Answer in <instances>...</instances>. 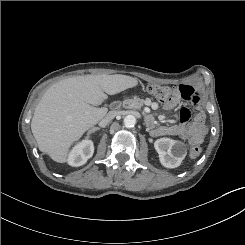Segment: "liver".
Instances as JSON below:
<instances>
[{"label": "liver", "instance_id": "1", "mask_svg": "<svg viewBox=\"0 0 245 245\" xmlns=\"http://www.w3.org/2000/svg\"><path fill=\"white\" fill-rule=\"evenodd\" d=\"M137 85V78L122 74L75 76L52 85L31 121L40 151L56 162H66L71 146L105 117L107 108L94 106Z\"/></svg>", "mask_w": 245, "mask_h": 245}]
</instances>
